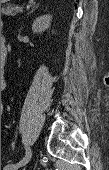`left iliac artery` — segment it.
<instances>
[{"instance_id": "44dca946", "label": "left iliac artery", "mask_w": 109, "mask_h": 170, "mask_svg": "<svg viewBox=\"0 0 109 170\" xmlns=\"http://www.w3.org/2000/svg\"><path fill=\"white\" fill-rule=\"evenodd\" d=\"M31 155H32L31 149L29 147H26V154H25L24 158L21 161H19V164L20 163H28V161L31 158Z\"/></svg>"}]
</instances>
